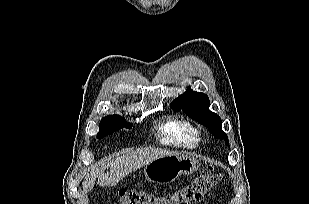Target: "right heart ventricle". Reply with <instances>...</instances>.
I'll return each instance as SVG.
<instances>
[{
	"label": "right heart ventricle",
	"instance_id": "obj_1",
	"mask_svg": "<svg viewBox=\"0 0 309 204\" xmlns=\"http://www.w3.org/2000/svg\"><path fill=\"white\" fill-rule=\"evenodd\" d=\"M159 134L163 141L176 145L194 147L199 138L195 127L187 120L169 117L159 126Z\"/></svg>",
	"mask_w": 309,
	"mask_h": 204
}]
</instances>
